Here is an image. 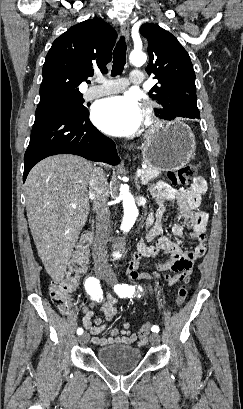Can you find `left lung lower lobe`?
<instances>
[{
	"instance_id": "left-lung-lower-lobe-1",
	"label": "left lung lower lobe",
	"mask_w": 243,
	"mask_h": 409,
	"mask_svg": "<svg viewBox=\"0 0 243 409\" xmlns=\"http://www.w3.org/2000/svg\"><path fill=\"white\" fill-rule=\"evenodd\" d=\"M176 117H189V118H200V114H194V115H192V114H182V113H179V114H177V113H175L174 114ZM173 118H175V117H170V119H173ZM170 119H167V120H170Z\"/></svg>"
}]
</instances>
